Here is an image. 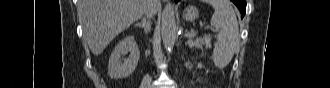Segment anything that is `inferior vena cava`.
<instances>
[{
    "instance_id": "602c4592",
    "label": "inferior vena cava",
    "mask_w": 330,
    "mask_h": 88,
    "mask_svg": "<svg viewBox=\"0 0 330 88\" xmlns=\"http://www.w3.org/2000/svg\"><path fill=\"white\" fill-rule=\"evenodd\" d=\"M153 2L154 0H149V4L144 13L148 18H151L156 12Z\"/></svg>"
}]
</instances>
